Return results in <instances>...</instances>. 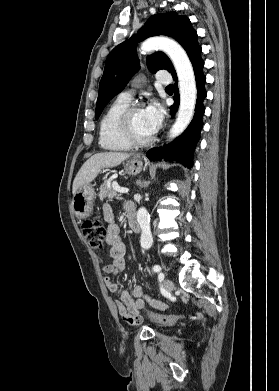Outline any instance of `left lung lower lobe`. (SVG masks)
I'll return each mask as SVG.
<instances>
[{"instance_id": "1", "label": "left lung lower lobe", "mask_w": 279, "mask_h": 391, "mask_svg": "<svg viewBox=\"0 0 279 391\" xmlns=\"http://www.w3.org/2000/svg\"><path fill=\"white\" fill-rule=\"evenodd\" d=\"M193 65L196 85H197V101L195 114L188 128L184 133L177 137L173 142L163 147H155L147 152V157L152 160H161L162 158L166 161H178L187 168L192 167L193 152L196 144L200 138V131L203 127L202 116L205 112L203 101L207 96L205 90L206 77L203 74L204 61L201 58V47H199L192 58L190 59ZM174 80L177 81V76H173ZM175 95L173 97L174 104L170 107V112L174 115L179 106V93L177 85L175 86Z\"/></svg>"}]
</instances>
